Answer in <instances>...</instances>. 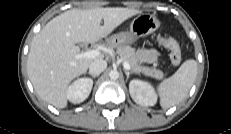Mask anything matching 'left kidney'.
<instances>
[{
    "label": "left kidney",
    "instance_id": "1",
    "mask_svg": "<svg viewBox=\"0 0 231 134\" xmlns=\"http://www.w3.org/2000/svg\"><path fill=\"white\" fill-rule=\"evenodd\" d=\"M131 98L139 105L153 106L157 102V95L150 84L147 82L133 79L129 83Z\"/></svg>",
    "mask_w": 231,
    "mask_h": 134
}]
</instances>
